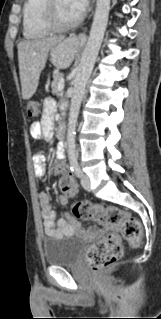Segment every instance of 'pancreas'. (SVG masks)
Here are the masks:
<instances>
[{"instance_id": "pancreas-1", "label": "pancreas", "mask_w": 161, "mask_h": 319, "mask_svg": "<svg viewBox=\"0 0 161 319\" xmlns=\"http://www.w3.org/2000/svg\"><path fill=\"white\" fill-rule=\"evenodd\" d=\"M60 79H61V74L55 73L53 75V81L51 86H52V93L54 95H59L58 85H59Z\"/></svg>"}]
</instances>
